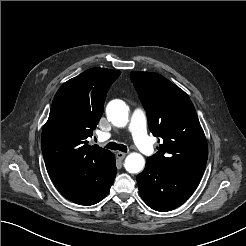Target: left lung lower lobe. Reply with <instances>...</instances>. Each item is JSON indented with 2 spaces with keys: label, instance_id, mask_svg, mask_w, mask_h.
Listing matches in <instances>:
<instances>
[{
  "label": "left lung lower lobe",
  "instance_id": "1",
  "mask_svg": "<svg viewBox=\"0 0 246 246\" xmlns=\"http://www.w3.org/2000/svg\"><path fill=\"white\" fill-rule=\"evenodd\" d=\"M200 176L146 164L138 174L137 183L142 199L157 211H170L183 204L195 191Z\"/></svg>",
  "mask_w": 246,
  "mask_h": 246
}]
</instances>
